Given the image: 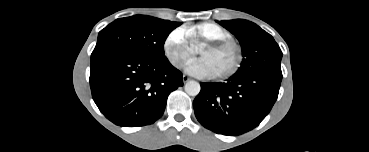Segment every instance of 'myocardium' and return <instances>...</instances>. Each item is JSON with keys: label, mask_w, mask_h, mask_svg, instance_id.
Wrapping results in <instances>:
<instances>
[{"label": "myocardium", "mask_w": 369, "mask_h": 152, "mask_svg": "<svg viewBox=\"0 0 369 152\" xmlns=\"http://www.w3.org/2000/svg\"><path fill=\"white\" fill-rule=\"evenodd\" d=\"M226 46H232L235 51H236V60L234 62V65L226 72L218 74L213 76V79H217V80H223V79H228L230 77H232L233 75H235L243 62V50L242 47L240 46V44L231 39V38H225V39H219V40H212L209 41L205 44H203L200 49L199 52L203 49H210V50H216V49H220Z\"/></svg>", "instance_id": "1"}]
</instances>
